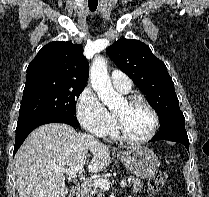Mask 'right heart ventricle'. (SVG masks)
Instances as JSON below:
<instances>
[{
  "label": "right heart ventricle",
  "mask_w": 209,
  "mask_h": 197,
  "mask_svg": "<svg viewBox=\"0 0 209 197\" xmlns=\"http://www.w3.org/2000/svg\"><path fill=\"white\" fill-rule=\"evenodd\" d=\"M107 135H109L111 138L115 139L117 138V132L115 130L114 125L112 126V128L109 130V132L107 133Z\"/></svg>",
  "instance_id": "right-heart-ventricle-1"
}]
</instances>
